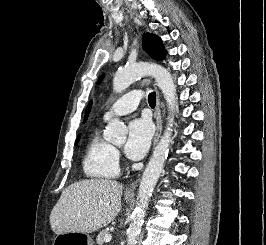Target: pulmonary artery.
<instances>
[{
	"mask_svg": "<svg viewBox=\"0 0 266 245\" xmlns=\"http://www.w3.org/2000/svg\"><path fill=\"white\" fill-rule=\"evenodd\" d=\"M140 95V91H130L120 100H113V104L103 113V120L133 112L138 107V101H141Z\"/></svg>",
	"mask_w": 266,
	"mask_h": 245,
	"instance_id": "pulmonary-artery-1",
	"label": "pulmonary artery"
}]
</instances>
